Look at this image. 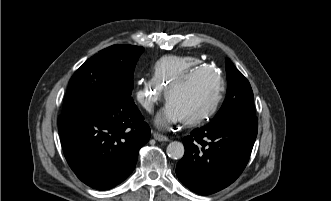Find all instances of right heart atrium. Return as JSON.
I'll return each mask as SVG.
<instances>
[{"label": "right heart atrium", "mask_w": 331, "mask_h": 201, "mask_svg": "<svg viewBox=\"0 0 331 201\" xmlns=\"http://www.w3.org/2000/svg\"><path fill=\"white\" fill-rule=\"evenodd\" d=\"M161 87L152 78L139 83L136 98L139 104L147 111H152L156 102L160 99Z\"/></svg>", "instance_id": "d8ad5b80"}]
</instances>
